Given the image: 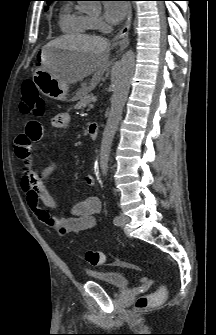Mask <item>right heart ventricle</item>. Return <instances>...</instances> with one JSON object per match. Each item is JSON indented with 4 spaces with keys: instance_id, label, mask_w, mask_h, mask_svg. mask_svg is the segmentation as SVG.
<instances>
[{
    "instance_id": "obj_1",
    "label": "right heart ventricle",
    "mask_w": 216,
    "mask_h": 335,
    "mask_svg": "<svg viewBox=\"0 0 216 335\" xmlns=\"http://www.w3.org/2000/svg\"><path fill=\"white\" fill-rule=\"evenodd\" d=\"M58 23L65 34H86L94 29L92 18L76 9L72 4H65L62 7Z\"/></svg>"
}]
</instances>
